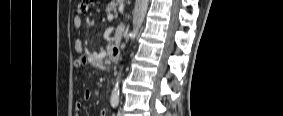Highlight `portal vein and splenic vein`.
Here are the masks:
<instances>
[{
  "label": "portal vein and splenic vein",
  "mask_w": 283,
  "mask_h": 116,
  "mask_svg": "<svg viewBox=\"0 0 283 116\" xmlns=\"http://www.w3.org/2000/svg\"><path fill=\"white\" fill-rule=\"evenodd\" d=\"M113 18H114V16H113L112 14H109V15L107 16L108 21H112Z\"/></svg>",
  "instance_id": "obj_1"
}]
</instances>
